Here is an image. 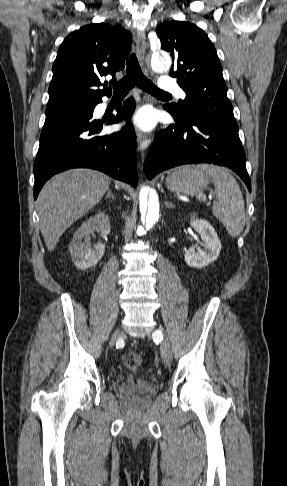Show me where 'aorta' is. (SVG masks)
I'll return each mask as SVG.
<instances>
[{"mask_svg": "<svg viewBox=\"0 0 287 486\" xmlns=\"http://www.w3.org/2000/svg\"><path fill=\"white\" fill-rule=\"evenodd\" d=\"M171 65V59L168 55H161L159 53H153L151 56V67L155 71H161L165 68H169ZM140 212L141 221L147 230L153 228L159 219V200L157 193L150 189L148 194L145 191L140 193Z\"/></svg>", "mask_w": 287, "mask_h": 486, "instance_id": "obj_1", "label": "aorta"}]
</instances>
